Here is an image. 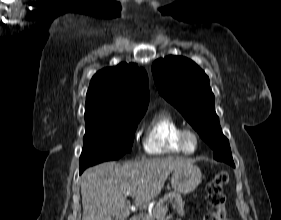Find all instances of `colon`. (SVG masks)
<instances>
[{
  "instance_id": "5ec220e1",
  "label": "colon",
  "mask_w": 281,
  "mask_h": 220,
  "mask_svg": "<svg viewBox=\"0 0 281 220\" xmlns=\"http://www.w3.org/2000/svg\"><path fill=\"white\" fill-rule=\"evenodd\" d=\"M228 180V173L220 171L207 184V201L212 209L205 215L204 220H227L224 186L228 183Z\"/></svg>"
}]
</instances>
